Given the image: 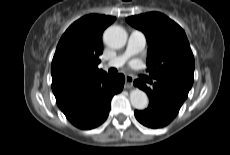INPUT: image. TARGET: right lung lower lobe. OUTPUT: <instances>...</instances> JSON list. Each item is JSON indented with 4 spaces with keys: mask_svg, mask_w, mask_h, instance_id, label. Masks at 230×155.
Here are the masks:
<instances>
[{
    "mask_svg": "<svg viewBox=\"0 0 230 155\" xmlns=\"http://www.w3.org/2000/svg\"><path fill=\"white\" fill-rule=\"evenodd\" d=\"M123 74L107 73L76 89L56 94V102L67 119L80 129H92L107 118L112 97L124 86Z\"/></svg>",
    "mask_w": 230,
    "mask_h": 155,
    "instance_id": "1",
    "label": "right lung lower lobe"
}]
</instances>
